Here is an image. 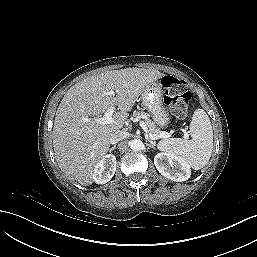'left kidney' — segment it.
Segmentation results:
<instances>
[{
    "instance_id": "left-kidney-1",
    "label": "left kidney",
    "mask_w": 257,
    "mask_h": 257,
    "mask_svg": "<svg viewBox=\"0 0 257 257\" xmlns=\"http://www.w3.org/2000/svg\"><path fill=\"white\" fill-rule=\"evenodd\" d=\"M154 164L161 175L172 181L182 182L190 178V166L177 155L158 153Z\"/></svg>"
}]
</instances>
